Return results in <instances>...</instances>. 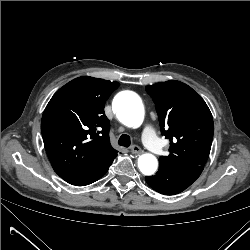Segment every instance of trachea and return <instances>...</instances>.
<instances>
[{"instance_id":"trachea-1","label":"trachea","mask_w":250,"mask_h":250,"mask_svg":"<svg viewBox=\"0 0 250 250\" xmlns=\"http://www.w3.org/2000/svg\"><path fill=\"white\" fill-rule=\"evenodd\" d=\"M118 144L124 147H129L131 144L130 137L126 134L121 135Z\"/></svg>"}]
</instances>
